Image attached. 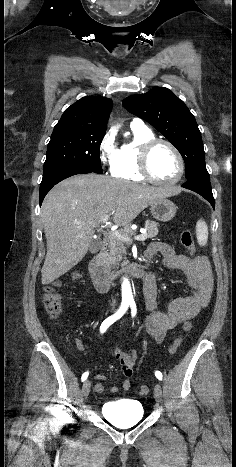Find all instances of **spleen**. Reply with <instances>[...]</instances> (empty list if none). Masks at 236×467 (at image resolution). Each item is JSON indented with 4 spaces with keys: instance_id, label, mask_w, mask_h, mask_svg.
Returning <instances> with one entry per match:
<instances>
[{
    "instance_id": "obj_1",
    "label": "spleen",
    "mask_w": 236,
    "mask_h": 467,
    "mask_svg": "<svg viewBox=\"0 0 236 467\" xmlns=\"http://www.w3.org/2000/svg\"><path fill=\"white\" fill-rule=\"evenodd\" d=\"M196 238L199 245H206L208 240V227L203 219L198 220L196 223Z\"/></svg>"
}]
</instances>
